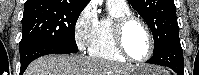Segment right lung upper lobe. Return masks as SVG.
<instances>
[{"label": "right lung upper lobe", "instance_id": "cb5924a9", "mask_svg": "<svg viewBox=\"0 0 199 75\" xmlns=\"http://www.w3.org/2000/svg\"><path fill=\"white\" fill-rule=\"evenodd\" d=\"M90 0H27L25 5L47 6L51 4H63L76 8H85Z\"/></svg>", "mask_w": 199, "mask_h": 75}]
</instances>
